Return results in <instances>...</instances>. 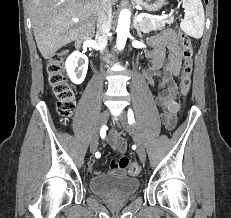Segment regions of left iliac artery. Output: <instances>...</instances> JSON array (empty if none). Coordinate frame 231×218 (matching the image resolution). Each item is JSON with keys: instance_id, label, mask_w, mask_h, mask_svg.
<instances>
[{"instance_id": "44dca946", "label": "left iliac artery", "mask_w": 231, "mask_h": 218, "mask_svg": "<svg viewBox=\"0 0 231 218\" xmlns=\"http://www.w3.org/2000/svg\"><path fill=\"white\" fill-rule=\"evenodd\" d=\"M128 121H129V123L131 124V123H134V114H133V111L131 110V109H129V111H128Z\"/></svg>"}]
</instances>
